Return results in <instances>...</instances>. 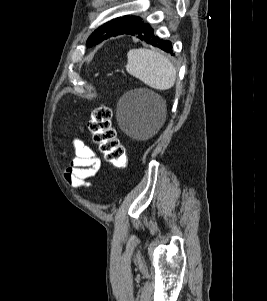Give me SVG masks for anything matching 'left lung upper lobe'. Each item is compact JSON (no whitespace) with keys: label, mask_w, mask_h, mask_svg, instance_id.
<instances>
[{"label":"left lung upper lobe","mask_w":267,"mask_h":301,"mask_svg":"<svg viewBox=\"0 0 267 301\" xmlns=\"http://www.w3.org/2000/svg\"><path fill=\"white\" fill-rule=\"evenodd\" d=\"M140 23H142L141 18L136 16H124L113 19L96 29L90 35L87 40V46L92 47L113 35L124 34Z\"/></svg>","instance_id":"1"}]
</instances>
